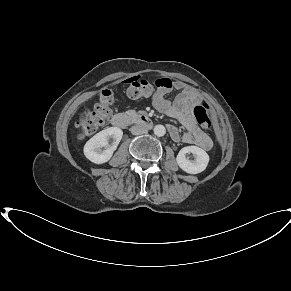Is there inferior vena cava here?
Listing matches in <instances>:
<instances>
[{
    "label": "inferior vena cava",
    "mask_w": 291,
    "mask_h": 291,
    "mask_svg": "<svg viewBox=\"0 0 291 291\" xmlns=\"http://www.w3.org/2000/svg\"><path fill=\"white\" fill-rule=\"evenodd\" d=\"M130 131L133 135H141V134H145L148 132L147 128L142 127V126H133L130 128Z\"/></svg>",
    "instance_id": "602c4592"
}]
</instances>
